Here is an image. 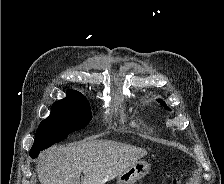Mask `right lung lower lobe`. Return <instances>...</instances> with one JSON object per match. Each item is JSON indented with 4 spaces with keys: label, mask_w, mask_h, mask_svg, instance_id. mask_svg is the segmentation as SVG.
<instances>
[{
    "label": "right lung lower lobe",
    "mask_w": 224,
    "mask_h": 184,
    "mask_svg": "<svg viewBox=\"0 0 224 184\" xmlns=\"http://www.w3.org/2000/svg\"><path fill=\"white\" fill-rule=\"evenodd\" d=\"M30 157H31V158H36L37 155H35L34 153H31V152H30Z\"/></svg>",
    "instance_id": "right-lung-lower-lobe-1"
}]
</instances>
